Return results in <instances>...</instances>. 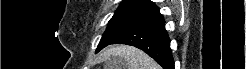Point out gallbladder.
<instances>
[{
  "instance_id": "1",
  "label": "gallbladder",
  "mask_w": 246,
  "mask_h": 69,
  "mask_svg": "<svg viewBox=\"0 0 246 69\" xmlns=\"http://www.w3.org/2000/svg\"><path fill=\"white\" fill-rule=\"evenodd\" d=\"M120 61L119 57H112L110 60H108L105 63V69H117L119 68V65L117 64V62Z\"/></svg>"
}]
</instances>
